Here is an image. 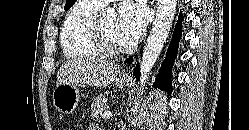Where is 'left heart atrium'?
Returning <instances> with one entry per match:
<instances>
[{
    "instance_id": "1",
    "label": "left heart atrium",
    "mask_w": 249,
    "mask_h": 130,
    "mask_svg": "<svg viewBox=\"0 0 249 130\" xmlns=\"http://www.w3.org/2000/svg\"><path fill=\"white\" fill-rule=\"evenodd\" d=\"M148 22V14L140 2L125 1L118 9L116 30L122 45H132L143 34Z\"/></svg>"
}]
</instances>
